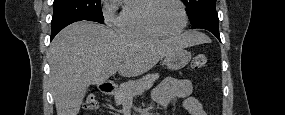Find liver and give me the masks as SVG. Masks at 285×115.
<instances>
[{"label":"liver","instance_id":"1","mask_svg":"<svg viewBox=\"0 0 285 115\" xmlns=\"http://www.w3.org/2000/svg\"><path fill=\"white\" fill-rule=\"evenodd\" d=\"M200 43L204 42L195 31L158 40L118 34L86 21L67 26L48 52L57 115H77L91 84H102L116 72L124 77L142 75L174 50Z\"/></svg>","mask_w":285,"mask_h":115}]
</instances>
